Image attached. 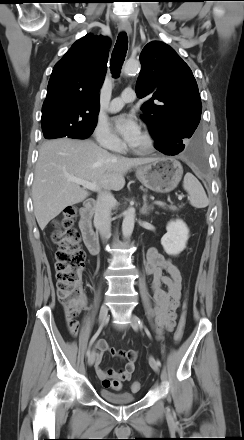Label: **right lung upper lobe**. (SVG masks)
<instances>
[{
  "label": "right lung upper lobe",
  "mask_w": 244,
  "mask_h": 440,
  "mask_svg": "<svg viewBox=\"0 0 244 440\" xmlns=\"http://www.w3.org/2000/svg\"><path fill=\"white\" fill-rule=\"evenodd\" d=\"M109 46L108 38L92 34L72 45L52 71L41 121L65 120L82 125L97 120Z\"/></svg>",
  "instance_id": "obj_1"
}]
</instances>
